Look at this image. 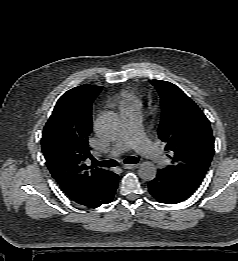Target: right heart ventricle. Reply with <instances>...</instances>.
Instances as JSON below:
<instances>
[{
  "label": "right heart ventricle",
  "instance_id": "e07e8e85",
  "mask_svg": "<svg viewBox=\"0 0 238 261\" xmlns=\"http://www.w3.org/2000/svg\"><path fill=\"white\" fill-rule=\"evenodd\" d=\"M115 101L119 107V110H125L128 108L140 109V100L134 92L128 89H123L115 97Z\"/></svg>",
  "mask_w": 238,
  "mask_h": 261
}]
</instances>
